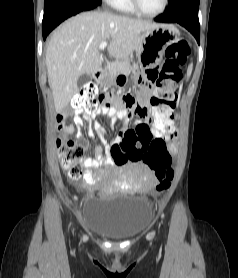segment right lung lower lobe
<instances>
[{
	"mask_svg": "<svg viewBox=\"0 0 238 278\" xmlns=\"http://www.w3.org/2000/svg\"><path fill=\"white\" fill-rule=\"evenodd\" d=\"M101 0H45L42 22L43 39L62 21L78 14L91 10L100 5Z\"/></svg>",
	"mask_w": 238,
	"mask_h": 278,
	"instance_id": "1",
	"label": "right lung lower lobe"
}]
</instances>
